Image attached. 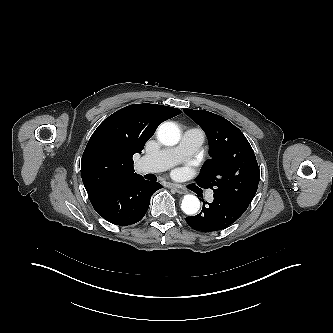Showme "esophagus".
<instances>
[{"mask_svg": "<svg viewBox=\"0 0 333 333\" xmlns=\"http://www.w3.org/2000/svg\"><path fill=\"white\" fill-rule=\"evenodd\" d=\"M168 187L174 189L179 194H186L187 193V191L184 188H182V187H180L179 185H176V184H169Z\"/></svg>", "mask_w": 333, "mask_h": 333, "instance_id": "34e87169", "label": "esophagus"}]
</instances>
